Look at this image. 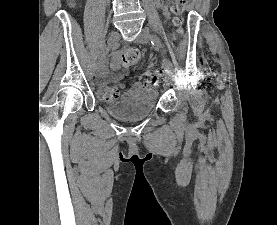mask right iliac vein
Here are the masks:
<instances>
[{
    "mask_svg": "<svg viewBox=\"0 0 277 225\" xmlns=\"http://www.w3.org/2000/svg\"><path fill=\"white\" fill-rule=\"evenodd\" d=\"M120 35L118 32H113L111 33L109 39H108V48H113L119 41ZM105 59H103L102 63L97 64L96 69H95V77L98 79L99 77V71L100 68L103 66Z\"/></svg>",
    "mask_w": 277,
    "mask_h": 225,
    "instance_id": "right-iliac-vein-1",
    "label": "right iliac vein"
}]
</instances>
